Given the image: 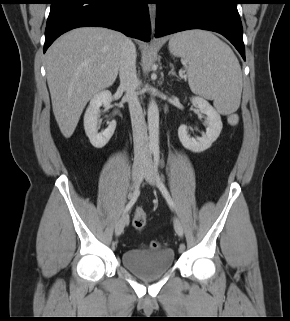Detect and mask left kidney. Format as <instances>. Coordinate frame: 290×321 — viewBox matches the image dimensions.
I'll return each instance as SVG.
<instances>
[{
	"label": "left kidney",
	"mask_w": 290,
	"mask_h": 321,
	"mask_svg": "<svg viewBox=\"0 0 290 321\" xmlns=\"http://www.w3.org/2000/svg\"><path fill=\"white\" fill-rule=\"evenodd\" d=\"M191 102L201 113L207 116L205 121L207 125L206 133L202 137L193 138L188 134L187 126L181 125L178 129V136L186 149L198 153L211 147L212 143L219 137L223 125L220 115L208 101L201 97H192Z\"/></svg>",
	"instance_id": "5707ae66"
}]
</instances>
